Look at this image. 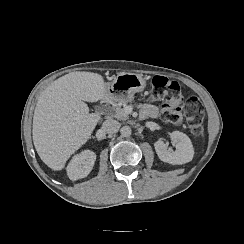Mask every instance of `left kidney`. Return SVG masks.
<instances>
[{"mask_svg": "<svg viewBox=\"0 0 244 244\" xmlns=\"http://www.w3.org/2000/svg\"><path fill=\"white\" fill-rule=\"evenodd\" d=\"M167 138L173 143V147H175L177 151L173 153L167 151L168 145L165 143L164 139L155 141L154 148L162 162L171 165H182L192 161L194 151L188 136L179 131H173L167 135Z\"/></svg>", "mask_w": 244, "mask_h": 244, "instance_id": "5707ae66", "label": "left kidney"}]
</instances>
